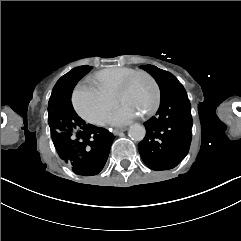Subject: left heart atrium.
<instances>
[{
    "label": "left heart atrium",
    "mask_w": 241,
    "mask_h": 241,
    "mask_svg": "<svg viewBox=\"0 0 241 241\" xmlns=\"http://www.w3.org/2000/svg\"><path fill=\"white\" fill-rule=\"evenodd\" d=\"M135 114L127 110H119L109 117V122L114 125H122L131 121Z\"/></svg>",
    "instance_id": "39dd6f15"
}]
</instances>
